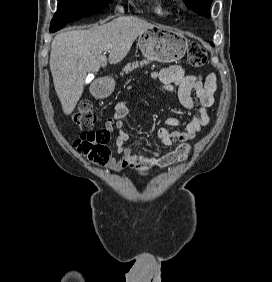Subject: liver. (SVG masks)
Segmentation results:
<instances>
[{"label": "liver", "instance_id": "obj_1", "mask_svg": "<svg viewBox=\"0 0 272 282\" xmlns=\"http://www.w3.org/2000/svg\"><path fill=\"white\" fill-rule=\"evenodd\" d=\"M154 25L135 16H122L86 30L63 31L51 43L50 70L62 110L70 115L79 101L88 73L122 61L136 38ZM109 47V56L102 55Z\"/></svg>", "mask_w": 272, "mask_h": 282}]
</instances>
